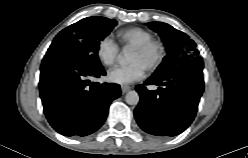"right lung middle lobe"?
<instances>
[{
    "mask_svg": "<svg viewBox=\"0 0 248 158\" xmlns=\"http://www.w3.org/2000/svg\"><path fill=\"white\" fill-rule=\"evenodd\" d=\"M117 24L105 17L84 18L62 30L53 40L46 56L60 55L80 60H99V43Z\"/></svg>",
    "mask_w": 248,
    "mask_h": 158,
    "instance_id": "right-lung-middle-lobe-1",
    "label": "right lung middle lobe"
}]
</instances>
